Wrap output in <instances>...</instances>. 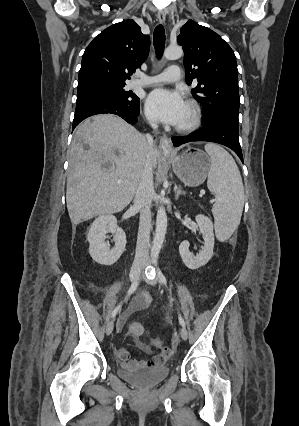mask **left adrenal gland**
<instances>
[{"mask_svg":"<svg viewBox=\"0 0 299 426\" xmlns=\"http://www.w3.org/2000/svg\"><path fill=\"white\" fill-rule=\"evenodd\" d=\"M174 192H175V198L176 200L179 198L180 195H185L186 192L179 186H175L174 188Z\"/></svg>","mask_w":299,"mask_h":426,"instance_id":"left-adrenal-gland-1","label":"left adrenal gland"}]
</instances>
